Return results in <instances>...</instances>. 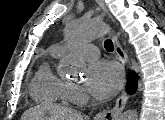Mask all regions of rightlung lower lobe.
Returning a JSON list of instances; mask_svg holds the SVG:
<instances>
[{
    "mask_svg": "<svg viewBox=\"0 0 165 120\" xmlns=\"http://www.w3.org/2000/svg\"><path fill=\"white\" fill-rule=\"evenodd\" d=\"M137 88V75L130 73L128 76L127 90L128 92H134Z\"/></svg>",
    "mask_w": 165,
    "mask_h": 120,
    "instance_id": "1",
    "label": "right lung lower lobe"
}]
</instances>
